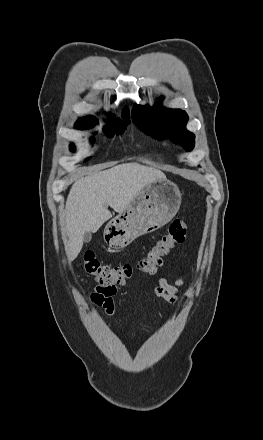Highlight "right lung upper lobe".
I'll return each mask as SVG.
<instances>
[{"label": "right lung upper lobe", "instance_id": "1", "mask_svg": "<svg viewBox=\"0 0 263 440\" xmlns=\"http://www.w3.org/2000/svg\"><path fill=\"white\" fill-rule=\"evenodd\" d=\"M123 118H130V114H129V110L126 108L125 112H123L122 115ZM97 119L94 116H87L83 119H80L77 123H76V127L81 129V128H86L91 122L96 121Z\"/></svg>", "mask_w": 263, "mask_h": 440}]
</instances>
